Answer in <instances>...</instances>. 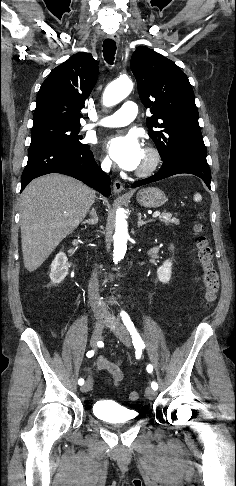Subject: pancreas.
<instances>
[{
    "label": "pancreas",
    "mask_w": 236,
    "mask_h": 486,
    "mask_svg": "<svg viewBox=\"0 0 236 486\" xmlns=\"http://www.w3.org/2000/svg\"><path fill=\"white\" fill-rule=\"evenodd\" d=\"M160 220L164 222L166 225L169 224H179V220L175 217H172V214L170 213H163L159 216Z\"/></svg>",
    "instance_id": "1"
}]
</instances>
